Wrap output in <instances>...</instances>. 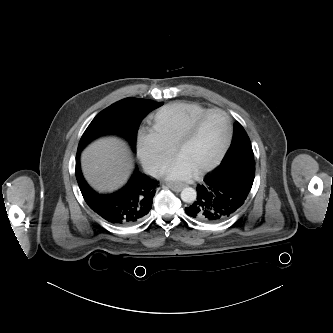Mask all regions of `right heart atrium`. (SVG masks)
Listing matches in <instances>:
<instances>
[{
  "label": "right heart atrium",
  "mask_w": 333,
  "mask_h": 333,
  "mask_svg": "<svg viewBox=\"0 0 333 333\" xmlns=\"http://www.w3.org/2000/svg\"><path fill=\"white\" fill-rule=\"evenodd\" d=\"M137 151L145 169L154 176L162 173L172 156V148L153 129L139 131Z\"/></svg>",
  "instance_id": "d8ad5b80"
}]
</instances>
